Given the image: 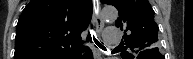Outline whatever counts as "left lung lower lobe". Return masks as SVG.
I'll return each instance as SVG.
<instances>
[{"mask_svg": "<svg viewBox=\"0 0 193 59\" xmlns=\"http://www.w3.org/2000/svg\"><path fill=\"white\" fill-rule=\"evenodd\" d=\"M138 59H163L157 48L141 51L137 57Z\"/></svg>", "mask_w": 193, "mask_h": 59, "instance_id": "0a47b994", "label": "left lung lower lobe"}]
</instances>
